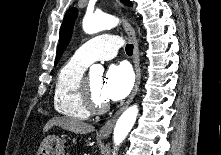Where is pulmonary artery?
<instances>
[{"label": "pulmonary artery", "mask_w": 221, "mask_h": 155, "mask_svg": "<svg viewBox=\"0 0 221 155\" xmlns=\"http://www.w3.org/2000/svg\"><path fill=\"white\" fill-rule=\"evenodd\" d=\"M121 46L119 37L111 34L98 35L82 46H80L74 53V58L90 64L96 60H109L118 52Z\"/></svg>", "instance_id": "obj_1"}]
</instances>
